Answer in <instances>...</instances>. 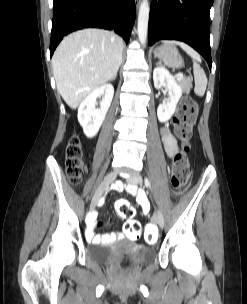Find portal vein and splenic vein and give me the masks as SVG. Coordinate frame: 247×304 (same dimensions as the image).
Returning <instances> with one entry per match:
<instances>
[{"label":"portal vein and splenic vein","instance_id":"18ae733b","mask_svg":"<svg viewBox=\"0 0 247 304\" xmlns=\"http://www.w3.org/2000/svg\"><path fill=\"white\" fill-rule=\"evenodd\" d=\"M183 77V73H178L177 75H176V78L177 79H181Z\"/></svg>","mask_w":247,"mask_h":304}]
</instances>
